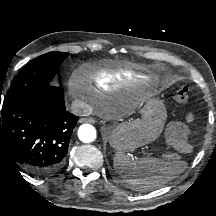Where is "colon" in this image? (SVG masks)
<instances>
[{"instance_id":"5ec220e1","label":"colon","mask_w":216,"mask_h":216,"mask_svg":"<svg viewBox=\"0 0 216 216\" xmlns=\"http://www.w3.org/2000/svg\"><path fill=\"white\" fill-rule=\"evenodd\" d=\"M189 98L190 90L186 86L179 88L174 94V99L179 104L187 103L189 101Z\"/></svg>"}]
</instances>
